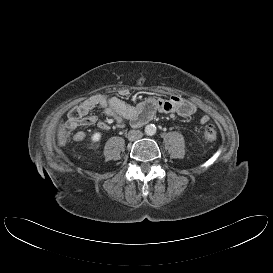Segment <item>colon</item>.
<instances>
[{
  "instance_id": "1",
  "label": "colon",
  "mask_w": 273,
  "mask_h": 273,
  "mask_svg": "<svg viewBox=\"0 0 273 273\" xmlns=\"http://www.w3.org/2000/svg\"><path fill=\"white\" fill-rule=\"evenodd\" d=\"M203 134H204V137L210 142H214L217 139V131L215 126L212 124H208L204 127ZM68 136H69V131L67 127H63L59 133L60 139L66 140Z\"/></svg>"
}]
</instances>
